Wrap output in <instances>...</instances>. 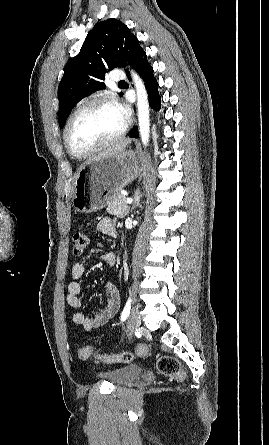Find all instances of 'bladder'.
<instances>
[{
    "label": "bladder",
    "mask_w": 269,
    "mask_h": 445,
    "mask_svg": "<svg viewBox=\"0 0 269 445\" xmlns=\"http://www.w3.org/2000/svg\"><path fill=\"white\" fill-rule=\"evenodd\" d=\"M142 372L143 369L140 365L133 364L105 372L102 375L114 385H125L138 378Z\"/></svg>",
    "instance_id": "obj_1"
}]
</instances>
